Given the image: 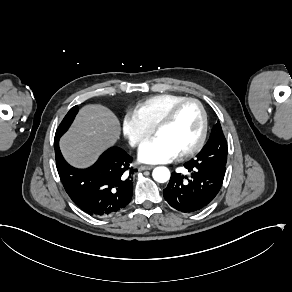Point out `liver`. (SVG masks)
<instances>
[{
  "label": "liver",
  "instance_id": "liver-1",
  "mask_svg": "<svg viewBox=\"0 0 292 292\" xmlns=\"http://www.w3.org/2000/svg\"><path fill=\"white\" fill-rule=\"evenodd\" d=\"M120 122L105 106H83L69 131L61 138V151L69 164L87 168L120 137Z\"/></svg>",
  "mask_w": 292,
  "mask_h": 292
}]
</instances>
